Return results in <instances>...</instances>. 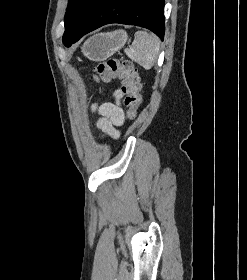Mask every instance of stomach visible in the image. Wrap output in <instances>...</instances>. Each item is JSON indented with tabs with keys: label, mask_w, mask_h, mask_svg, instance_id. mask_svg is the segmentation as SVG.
Wrapping results in <instances>:
<instances>
[{
	"label": "stomach",
	"mask_w": 247,
	"mask_h": 280,
	"mask_svg": "<svg viewBox=\"0 0 247 280\" xmlns=\"http://www.w3.org/2000/svg\"><path fill=\"white\" fill-rule=\"evenodd\" d=\"M127 39V33L123 30L98 33L84 43L82 52L90 60L103 61L121 49Z\"/></svg>",
	"instance_id": "1"
}]
</instances>
